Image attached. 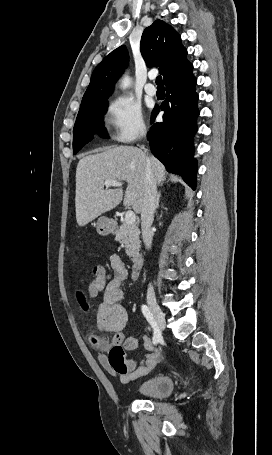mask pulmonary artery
<instances>
[{
    "label": "pulmonary artery",
    "instance_id": "obj_1",
    "mask_svg": "<svg viewBox=\"0 0 272 455\" xmlns=\"http://www.w3.org/2000/svg\"><path fill=\"white\" fill-rule=\"evenodd\" d=\"M149 78H150V79H153L154 76H153V75H150ZM145 92H146L147 95H149V96H155L156 93H157V90H156V88H155V86H154L153 84L147 83V84L145 85Z\"/></svg>",
    "mask_w": 272,
    "mask_h": 455
}]
</instances>
